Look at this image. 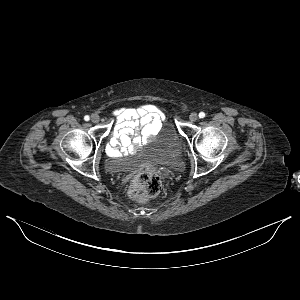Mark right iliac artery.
<instances>
[{"label": "right iliac artery", "mask_w": 300, "mask_h": 300, "mask_svg": "<svg viewBox=\"0 0 300 300\" xmlns=\"http://www.w3.org/2000/svg\"><path fill=\"white\" fill-rule=\"evenodd\" d=\"M89 119H90V117H89L88 115H86V116L84 117V120H85V121H89Z\"/></svg>", "instance_id": "82829eb1"}]
</instances>
